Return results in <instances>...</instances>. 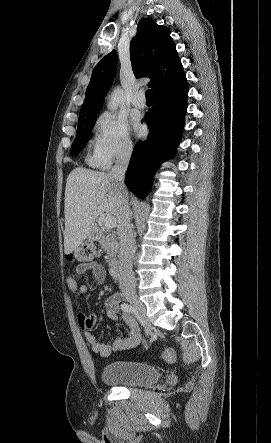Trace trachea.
Returning <instances> with one entry per match:
<instances>
[{"label": "trachea", "instance_id": "obj_1", "mask_svg": "<svg viewBox=\"0 0 271 443\" xmlns=\"http://www.w3.org/2000/svg\"><path fill=\"white\" fill-rule=\"evenodd\" d=\"M146 99L152 100V91L151 90H146Z\"/></svg>", "mask_w": 271, "mask_h": 443}]
</instances>
